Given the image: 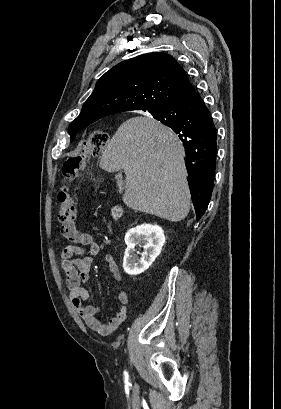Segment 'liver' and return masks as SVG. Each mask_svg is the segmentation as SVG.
Returning <instances> with one entry per match:
<instances>
[{
    "mask_svg": "<svg viewBox=\"0 0 281 409\" xmlns=\"http://www.w3.org/2000/svg\"><path fill=\"white\" fill-rule=\"evenodd\" d=\"M183 146L171 128L150 116L120 124L100 156L107 172L123 168V202L134 211L183 221L190 211V190Z\"/></svg>",
    "mask_w": 281,
    "mask_h": 409,
    "instance_id": "1",
    "label": "liver"
}]
</instances>
